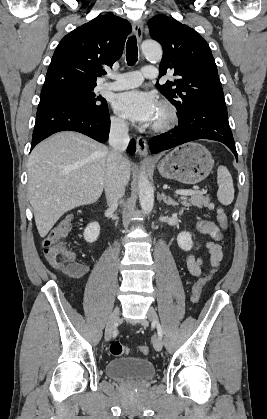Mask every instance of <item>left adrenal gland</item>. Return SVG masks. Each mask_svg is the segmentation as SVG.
Listing matches in <instances>:
<instances>
[{
	"instance_id": "obj_1",
	"label": "left adrenal gland",
	"mask_w": 267,
	"mask_h": 419,
	"mask_svg": "<svg viewBox=\"0 0 267 419\" xmlns=\"http://www.w3.org/2000/svg\"><path fill=\"white\" fill-rule=\"evenodd\" d=\"M160 200H163V202L167 205L176 206L177 202H175L171 197H167L164 193L160 195Z\"/></svg>"
}]
</instances>
